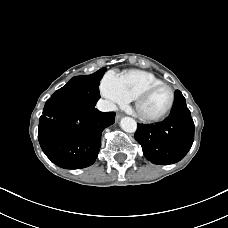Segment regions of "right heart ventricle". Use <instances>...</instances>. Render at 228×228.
<instances>
[{
	"instance_id": "right-heart-ventricle-1",
	"label": "right heart ventricle",
	"mask_w": 228,
	"mask_h": 228,
	"mask_svg": "<svg viewBox=\"0 0 228 228\" xmlns=\"http://www.w3.org/2000/svg\"><path fill=\"white\" fill-rule=\"evenodd\" d=\"M117 79L122 91L130 100L147 85L162 82L153 73L139 69L124 71L117 75Z\"/></svg>"
}]
</instances>
